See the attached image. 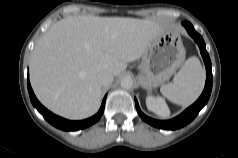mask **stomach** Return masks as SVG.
<instances>
[{"label":"stomach","instance_id":"stomach-1","mask_svg":"<svg viewBox=\"0 0 238 158\" xmlns=\"http://www.w3.org/2000/svg\"><path fill=\"white\" fill-rule=\"evenodd\" d=\"M185 48L178 32L162 28L147 47L138 69L140 85L151 89L162 85L181 66Z\"/></svg>","mask_w":238,"mask_h":158}]
</instances>
